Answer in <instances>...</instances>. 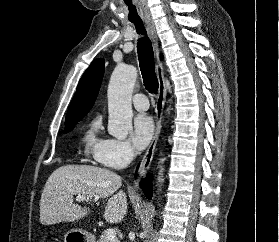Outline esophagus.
Here are the masks:
<instances>
[{"mask_svg": "<svg viewBox=\"0 0 279 242\" xmlns=\"http://www.w3.org/2000/svg\"><path fill=\"white\" fill-rule=\"evenodd\" d=\"M146 27L150 34V37L152 38V40L154 42V46L156 49V54H157L156 73H157V78H158V82H159V90H158L157 104H156L155 133H154L152 141L140 163L139 174L141 177L146 174L147 170L149 169V167L151 165V162H152V159L154 156L155 147H156L158 138L160 136L161 128H162L163 108H164L166 95H167L166 84H165V79H164V69H163V65H162L161 61L159 60V56H158V39H157L156 30H155L154 24L151 21H146ZM137 187H138V183H136L134 185L135 189Z\"/></svg>", "mask_w": 279, "mask_h": 242, "instance_id": "34e87169", "label": "esophagus"}]
</instances>
